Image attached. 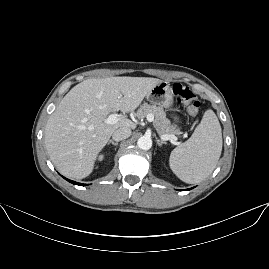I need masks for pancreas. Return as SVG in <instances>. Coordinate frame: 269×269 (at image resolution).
Returning <instances> with one entry per match:
<instances>
[{"mask_svg": "<svg viewBox=\"0 0 269 269\" xmlns=\"http://www.w3.org/2000/svg\"><path fill=\"white\" fill-rule=\"evenodd\" d=\"M160 111L163 112L162 117L159 116ZM148 114L154 115L155 120L153 125L159 135H175L177 133V129L171 126V121L166 118V113L162 107L144 103L138 110V118L143 119L147 117Z\"/></svg>", "mask_w": 269, "mask_h": 269, "instance_id": "pancreas-1", "label": "pancreas"}]
</instances>
